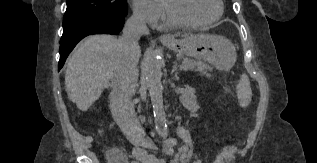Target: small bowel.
Returning a JSON list of instances; mask_svg holds the SVG:
<instances>
[{
	"instance_id": "c3829d8e",
	"label": "small bowel",
	"mask_w": 317,
	"mask_h": 163,
	"mask_svg": "<svg viewBox=\"0 0 317 163\" xmlns=\"http://www.w3.org/2000/svg\"><path fill=\"white\" fill-rule=\"evenodd\" d=\"M178 135L184 142L183 146L178 148L175 139H169L164 146V153L166 155L175 154L171 163H201L193 154L194 145L190 133L184 128H180ZM132 154L134 160L131 162L127 160V157L121 151L117 156H113L108 152L107 156L109 163H166L164 159L149 155L140 148L134 149Z\"/></svg>"
}]
</instances>
